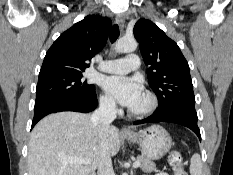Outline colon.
I'll return each mask as SVG.
<instances>
[{
	"instance_id": "colon-1",
	"label": "colon",
	"mask_w": 233,
	"mask_h": 175,
	"mask_svg": "<svg viewBox=\"0 0 233 175\" xmlns=\"http://www.w3.org/2000/svg\"><path fill=\"white\" fill-rule=\"evenodd\" d=\"M169 164L174 171V175H188L184 169L183 156L179 151L175 150L170 154Z\"/></svg>"
}]
</instances>
